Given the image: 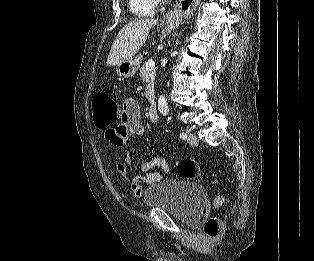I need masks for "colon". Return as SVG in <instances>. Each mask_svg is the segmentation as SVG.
<instances>
[{
	"label": "colon",
	"mask_w": 314,
	"mask_h": 261,
	"mask_svg": "<svg viewBox=\"0 0 314 261\" xmlns=\"http://www.w3.org/2000/svg\"><path fill=\"white\" fill-rule=\"evenodd\" d=\"M93 120L95 125L100 129H108L117 123L120 118V111L117 103L106 93L98 92L93 97ZM109 141V140H108ZM179 174L187 179H195L199 176L200 168L197 161L193 159H183L177 163ZM224 203V198L219 196L216 199L215 205L221 206ZM221 230V222L218 218H209L203 227V232L206 237L215 239Z\"/></svg>",
	"instance_id": "1"
}]
</instances>
